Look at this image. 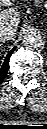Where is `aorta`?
<instances>
[{
  "label": "aorta",
  "instance_id": "aorta-1",
  "mask_svg": "<svg viewBox=\"0 0 47 129\" xmlns=\"http://www.w3.org/2000/svg\"><path fill=\"white\" fill-rule=\"evenodd\" d=\"M23 44L28 49H39L45 45V39L40 32L30 30L24 34Z\"/></svg>",
  "mask_w": 47,
  "mask_h": 129
}]
</instances>
